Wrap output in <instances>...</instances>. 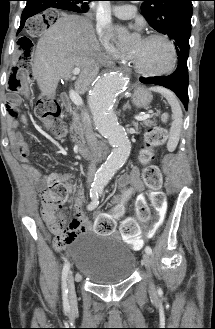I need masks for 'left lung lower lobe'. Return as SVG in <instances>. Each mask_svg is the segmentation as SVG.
Segmentation results:
<instances>
[{"label": "left lung lower lobe", "mask_w": 215, "mask_h": 329, "mask_svg": "<svg viewBox=\"0 0 215 329\" xmlns=\"http://www.w3.org/2000/svg\"><path fill=\"white\" fill-rule=\"evenodd\" d=\"M188 55L178 56V66L174 73L168 76L156 77H141L140 81L145 84H155L164 86L172 90L181 102L184 104L185 109L188 107Z\"/></svg>", "instance_id": "0a47b994"}]
</instances>
